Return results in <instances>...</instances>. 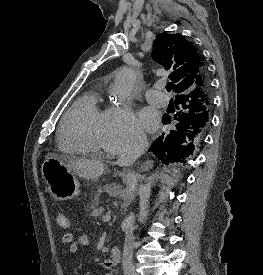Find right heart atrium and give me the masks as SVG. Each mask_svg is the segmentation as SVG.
<instances>
[{
    "mask_svg": "<svg viewBox=\"0 0 263 275\" xmlns=\"http://www.w3.org/2000/svg\"><path fill=\"white\" fill-rule=\"evenodd\" d=\"M144 142L145 135L136 125L129 108L117 106L109 109L104 132V145L108 152L121 153Z\"/></svg>",
    "mask_w": 263,
    "mask_h": 275,
    "instance_id": "1",
    "label": "right heart atrium"
}]
</instances>
